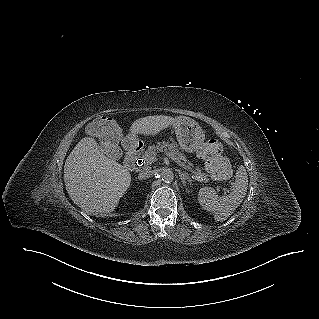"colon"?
Wrapping results in <instances>:
<instances>
[{
  "instance_id": "obj_1",
  "label": "colon",
  "mask_w": 319,
  "mask_h": 319,
  "mask_svg": "<svg viewBox=\"0 0 319 319\" xmlns=\"http://www.w3.org/2000/svg\"><path fill=\"white\" fill-rule=\"evenodd\" d=\"M85 132L89 136L95 135L103 138L102 147L106 151H111L113 159L120 160L123 158V149L116 147L122 140L121 131L110 118L103 116L100 120L87 126ZM201 153L206 160L207 169L212 177L220 181H225L229 178V164L223 155L222 145L217 139L209 140L201 148Z\"/></svg>"
}]
</instances>
